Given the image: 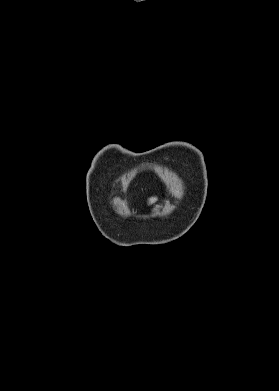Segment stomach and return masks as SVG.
<instances>
[{
  "label": "stomach",
  "instance_id": "1",
  "mask_svg": "<svg viewBox=\"0 0 279 391\" xmlns=\"http://www.w3.org/2000/svg\"><path fill=\"white\" fill-rule=\"evenodd\" d=\"M160 213V206H156L153 210V215H157Z\"/></svg>",
  "mask_w": 279,
  "mask_h": 391
}]
</instances>
